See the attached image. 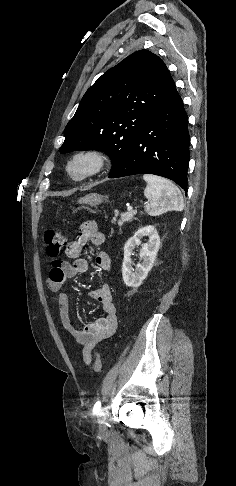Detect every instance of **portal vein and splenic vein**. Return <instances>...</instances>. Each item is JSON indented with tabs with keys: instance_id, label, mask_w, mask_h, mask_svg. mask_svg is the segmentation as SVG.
Masks as SVG:
<instances>
[{
	"instance_id": "obj_1",
	"label": "portal vein and splenic vein",
	"mask_w": 236,
	"mask_h": 486,
	"mask_svg": "<svg viewBox=\"0 0 236 486\" xmlns=\"http://www.w3.org/2000/svg\"><path fill=\"white\" fill-rule=\"evenodd\" d=\"M127 210L128 211H132L133 210V207L132 206H128Z\"/></svg>"
}]
</instances>
